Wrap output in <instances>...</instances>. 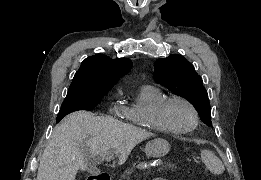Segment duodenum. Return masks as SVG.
<instances>
[{
  "label": "duodenum",
  "mask_w": 261,
  "mask_h": 180,
  "mask_svg": "<svg viewBox=\"0 0 261 180\" xmlns=\"http://www.w3.org/2000/svg\"><path fill=\"white\" fill-rule=\"evenodd\" d=\"M87 180H110L108 173H91V177H87Z\"/></svg>",
  "instance_id": "1"
}]
</instances>
